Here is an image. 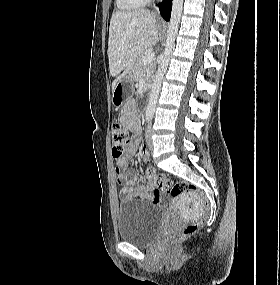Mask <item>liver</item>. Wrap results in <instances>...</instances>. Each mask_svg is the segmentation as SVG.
<instances>
[{
	"label": "liver",
	"instance_id": "1",
	"mask_svg": "<svg viewBox=\"0 0 280 285\" xmlns=\"http://www.w3.org/2000/svg\"><path fill=\"white\" fill-rule=\"evenodd\" d=\"M159 30L156 15L148 10L116 11L112 14L108 39L109 70L115 78L112 91L133 68L138 56L156 45Z\"/></svg>",
	"mask_w": 280,
	"mask_h": 285
}]
</instances>
